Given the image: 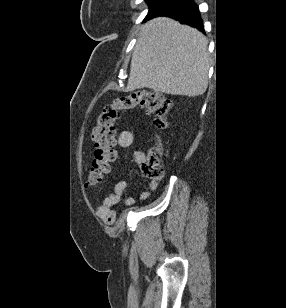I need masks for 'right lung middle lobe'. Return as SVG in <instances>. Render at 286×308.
Listing matches in <instances>:
<instances>
[{
    "label": "right lung middle lobe",
    "mask_w": 286,
    "mask_h": 308,
    "mask_svg": "<svg viewBox=\"0 0 286 308\" xmlns=\"http://www.w3.org/2000/svg\"><path fill=\"white\" fill-rule=\"evenodd\" d=\"M172 0H146L149 4V13L158 11L168 5Z\"/></svg>",
    "instance_id": "1"
}]
</instances>
